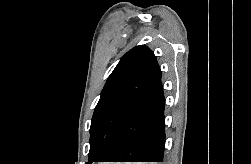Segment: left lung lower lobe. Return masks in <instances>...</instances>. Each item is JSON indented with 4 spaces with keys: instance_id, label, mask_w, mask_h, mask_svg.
Here are the masks:
<instances>
[{
    "instance_id": "left-lung-lower-lobe-1",
    "label": "left lung lower lobe",
    "mask_w": 251,
    "mask_h": 164,
    "mask_svg": "<svg viewBox=\"0 0 251 164\" xmlns=\"http://www.w3.org/2000/svg\"><path fill=\"white\" fill-rule=\"evenodd\" d=\"M164 106L160 78L130 108L102 162H163Z\"/></svg>"
}]
</instances>
